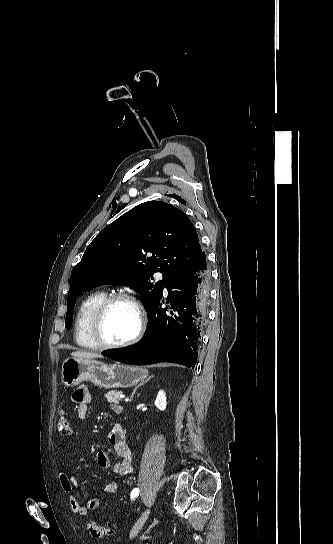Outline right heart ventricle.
Masks as SVG:
<instances>
[{"label":"right heart ventricle","mask_w":333,"mask_h":544,"mask_svg":"<svg viewBox=\"0 0 333 544\" xmlns=\"http://www.w3.org/2000/svg\"><path fill=\"white\" fill-rule=\"evenodd\" d=\"M107 296L104 291H95L87 295L80 303L74 323L76 343L83 348L97 349L89 333L91 316L99 303Z\"/></svg>","instance_id":"e07e8e85"}]
</instances>
